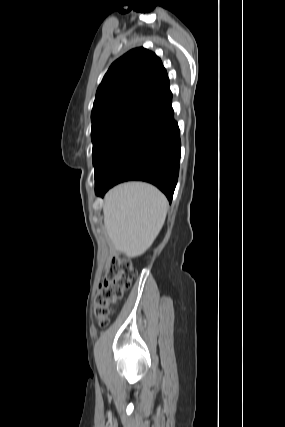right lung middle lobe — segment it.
<instances>
[{
    "label": "right lung middle lobe",
    "instance_id": "right-lung-middle-lobe-1",
    "mask_svg": "<svg viewBox=\"0 0 285 427\" xmlns=\"http://www.w3.org/2000/svg\"><path fill=\"white\" fill-rule=\"evenodd\" d=\"M144 112L120 111L92 121L93 164L97 176Z\"/></svg>",
    "mask_w": 285,
    "mask_h": 427
}]
</instances>
